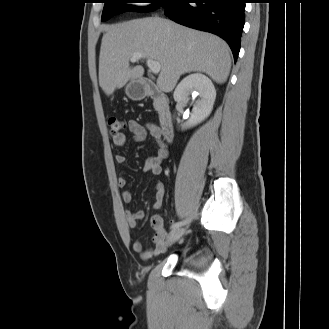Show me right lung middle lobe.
<instances>
[{"label":"right lung middle lobe","instance_id":"obj_1","mask_svg":"<svg viewBox=\"0 0 329 329\" xmlns=\"http://www.w3.org/2000/svg\"><path fill=\"white\" fill-rule=\"evenodd\" d=\"M169 1L170 0H150V3H153L152 5L145 8H139L135 6L124 5V3H132L133 0H104L105 5L102 13V21H106L109 18H111L113 15L125 11H142V12L153 11L159 7H163Z\"/></svg>","mask_w":329,"mask_h":329}]
</instances>
